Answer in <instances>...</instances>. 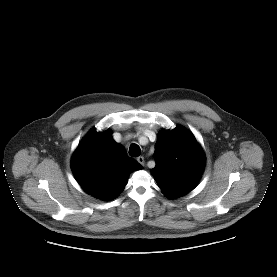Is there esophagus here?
Returning <instances> with one entry per match:
<instances>
[{
	"mask_svg": "<svg viewBox=\"0 0 277 277\" xmlns=\"http://www.w3.org/2000/svg\"><path fill=\"white\" fill-rule=\"evenodd\" d=\"M137 161H138L141 165H144V164H145L144 157H142V156H139V157L137 158Z\"/></svg>",
	"mask_w": 277,
	"mask_h": 277,
	"instance_id": "esophagus-1",
	"label": "esophagus"
}]
</instances>
